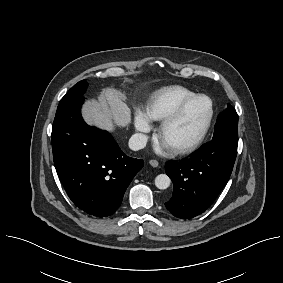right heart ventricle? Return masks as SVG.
<instances>
[{"label":"right heart ventricle","mask_w":283,"mask_h":283,"mask_svg":"<svg viewBox=\"0 0 283 283\" xmlns=\"http://www.w3.org/2000/svg\"><path fill=\"white\" fill-rule=\"evenodd\" d=\"M193 95L195 92L180 85L164 87L152 95L144 114L150 120H163Z\"/></svg>","instance_id":"1"}]
</instances>
